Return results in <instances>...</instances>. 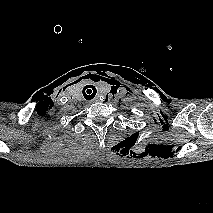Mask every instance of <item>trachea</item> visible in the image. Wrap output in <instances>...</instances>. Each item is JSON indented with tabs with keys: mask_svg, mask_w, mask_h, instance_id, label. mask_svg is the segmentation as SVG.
<instances>
[{
	"mask_svg": "<svg viewBox=\"0 0 213 213\" xmlns=\"http://www.w3.org/2000/svg\"><path fill=\"white\" fill-rule=\"evenodd\" d=\"M87 88H92L93 91L91 89H87ZM85 90H86L87 93L85 92ZM96 92H97V90L93 86L92 87H85V89L83 91V95L87 100H90V99H93L95 97Z\"/></svg>",
	"mask_w": 213,
	"mask_h": 213,
	"instance_id": "3493384b",
	"label": "trachea"
}]
</instances>
